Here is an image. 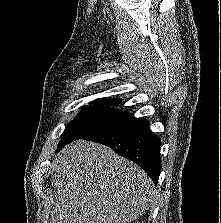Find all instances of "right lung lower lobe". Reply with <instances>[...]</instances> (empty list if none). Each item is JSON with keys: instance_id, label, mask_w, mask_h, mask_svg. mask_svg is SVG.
Returning a JSON list of instances; mask_svg holds the SVG:
<instances>
[{"instance_id": "right-lung-lower-lobe-1", "label": "right lung lower lobe", "mask_w": 221, "mask_h": 223, "mask_svg": "<svg viewBox=\"0 0 221 223\" xmlns=\"http://www.w3.org/2000/svg\"><path fill=\"white\" fill-rule=\"evenodd\" d=\"M79 139L111 147L118 155L141 166L154 184L158 183L161 172L159 151L161 141L149 129L147 120L136 119L132 114H128L121 120Z\"/></svg>"}]
</instances>
